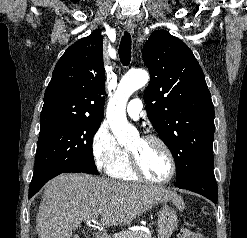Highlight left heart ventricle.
<instances>
[{
  "instance_id": "b2bd125f",
  "label": "left heart ventricle",
  "mask_w": 247,
  "mask_h": 238,
  "mask_svg": "<svg viewBox=\"0 0 247 238\" xmlns=\"http://www.w3.org/2000/svg\"><path fill=\"white\" fill-rule=\"evenodd\" d=\"M128 149L138 157L144 174L149 178L159 180L169 174V159L160 145L137 138Z\"/></svg>"
}]
</instances>
